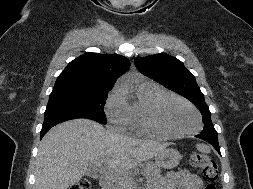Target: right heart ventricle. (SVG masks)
<instances>
[{"instance_id": "right-heart-ventricle-1", "label": "right heart ventricle", "mask_w": 253, "mask_h": 189, "mask_svg": "<svg viewBox=\"0 0 253 189\" xmlns=\"http://www.w3.org/2000/svg\"><path fill=\"white\" fill-rule=\"evenodd\" d=\"M165 91L159 86L141 81L135 85L136 100L128 104V126L148 135H159L147 125V111L152 101Z\"/></svg>"}]
</instances>
